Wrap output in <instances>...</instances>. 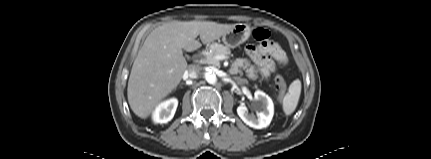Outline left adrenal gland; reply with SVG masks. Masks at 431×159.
Segmentation results:
<instances>
[{
  "label": "left adrenal gland",
  "mask_w": 431,
  "mask_h": 159,
  "mask_svg": "<svg viewBox=\"0 0 431 159\" xmlns=\"http://www.w3.org/2000/svg\"><path fill=\"white\" fill-rule=\"evenodd\" d=\"M234 79L237 80L240 83H244L245 82L243 79H240V78H234Z\"/></svg>",
  "instance_id": "1"
}]
</instances>
